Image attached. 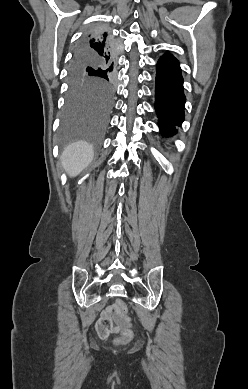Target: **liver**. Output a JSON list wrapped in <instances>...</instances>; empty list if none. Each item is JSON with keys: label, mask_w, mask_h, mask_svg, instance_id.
I'll return each instance as SVG.
<instances>
[{"label": "liver", "mask_w": 248, "mask_h": 389, "mask_svg": "<svg viewBox=\"0 0 248 389\" xmlns=\"http://www.w3.org/2000/svg\"><path fill=\"white\" fill-rule=\"evenodd\" d=\"M93 157L92 146L85 141H77L69 144L62 152V167L70 177H74L92 162Z\"/></svg>", "instance_id": "liver-1"}]
</instances>
